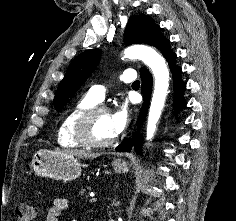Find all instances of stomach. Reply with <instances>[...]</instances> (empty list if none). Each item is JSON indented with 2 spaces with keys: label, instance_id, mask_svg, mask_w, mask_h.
Listing matches in <instances>:
<instances>
[{
  "label": "stomach",
  "instance_id": "1",
  "mask_svg": "<svg viewBox=\"0 0 236 221\" xmlns=\"http://www.w3.org/2000/svg\"><path fill=\"white\" fill-rule=\"evenodd\" d=\"M30 166L38 176L65 182L74 180L81 174L79 160L73 155L59 152L40 150L33 155ZM112 166L117 173L129 171L128 163L121 159L114 160Z\"/></svg>",
  "mask_w": 236,
  "mask_h": 221
}]
</instances>
